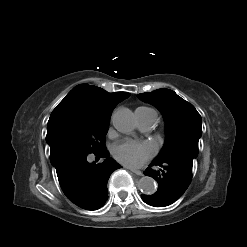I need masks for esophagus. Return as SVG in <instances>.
<instances>
[{"label":"esophagus","mask_w":247,"mask_h":247,"mask_svg":"<svg viewBox=\"0 0 247 247\" xmlns=\"http://www.w3.org/2000/svg\"><path fill=\"white\" fill-rule=\"evenodd\" d=\"M129 170L131 172L135 173L136 175H139V176H142L143 175V173L140 170H136V169H132V168H130Z\"/></svg>","instance_id":"obj_1"}]
</instances>
